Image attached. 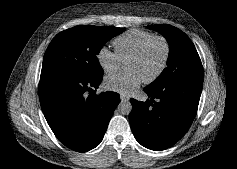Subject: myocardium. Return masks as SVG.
Here are the masks:
<instances>
[{
    "mask_svg": "<svg viewBox=\"0 0 237 169\" xmlns=\"http://www.w3.org/2000/svg\"><path fill=\"white\" fill-rule=\"evenodd\" d=\"M154 41H161L163 43L164 48H165V53H164L162 63L160 67L158 68V70L152 76L143 80V83L145 84H150L156 81L165 71L169 62L170 54H171V47H170L169 41L164 36H159V35L153 36L150 39H148L135 53H133L127 59V61L139 59Z\"/></svg>",
    "mask_w": 237,
    "mask_h": 169,
    "instance_id": "1",
    "label": "myocardium"
}]
</instances>
